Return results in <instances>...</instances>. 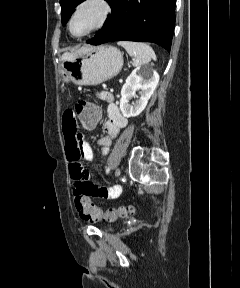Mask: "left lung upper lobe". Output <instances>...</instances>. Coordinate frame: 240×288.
Masks as SVG:
<instances>
[{
	"label": "left lung upper lobe",
	"instance_id": "left-lung-upper-lobe-1",
	"mask_svg": "<svg viewBox=\"0 0 240 288\" xmlns=\"http://www.w3.org/2000/svg\"><path fill=\"white\" fill-rule=\"evenodd\" d=\"M84 0H60L62 24H64L71 16L73 9ZM110 6L113 0H106Z\"/></svg>",
	"mask_w": 240,
	"mask_h": 288
}]
</instances>
